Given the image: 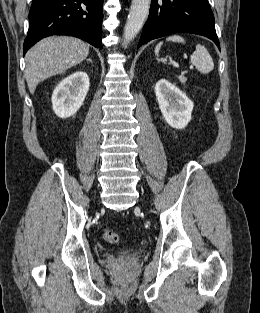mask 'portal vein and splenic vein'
Wrapping results in <instances>:
<instances>
[{
	"label": "portal vein and splenic vein",
	"mask_w": 260,
	"mask_h": 313,
	"mask_svg": "<svg viewBox=\"0 0 260 313\" xmlns=\"http://www.w3.org/2000/svg\"><path fill=\"white\" fill-rule=\"evenodd\" d=\"M173 65H175V63H173ZM190 69H193V66H190ZM184 72L181 73V75H183Z\"/></svg>",
	"instance_id": "1"
}]
</instances>
